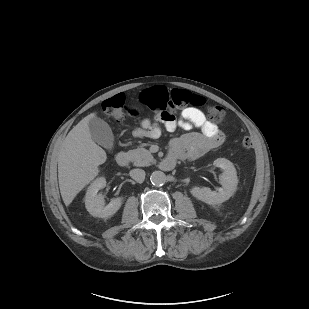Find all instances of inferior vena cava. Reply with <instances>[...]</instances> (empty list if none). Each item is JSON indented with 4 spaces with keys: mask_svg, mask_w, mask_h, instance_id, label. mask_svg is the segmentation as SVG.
Masks as SVG:
<instances>
[{
    "mask_svg": "<svg viewBox=\"0 0 309 309\" xmlns=\"http://www.w3.org/2000/svg\"><path fill=\"white\" fill-rule=\"evenodd\" d=\"M130 176L138 183H142L145 179V171L142 169H132L130 171Z\"/></svg>",
    "mask_w": 309,
    "mask_h": 309,
    "instance_id": "602c4592",
    "label": "inferior vena cava"
}]
</instances>
